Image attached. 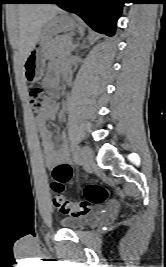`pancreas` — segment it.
<instances>
[{
  "label": "pancreas",
  "instance_id": "obj_1",
  "mask_svg": "<svg viewBox=\"0 0 166 267\" xmlns=\"http://www.w3.org/2000/svg\"><path fill=\"white\" fill-rule=\"evenodd\" d=\"M70 52V37L68 35L57 36L51 41L47 52V58L53 59L55 57H63L69 55Z\"/></svg>",
  "mask_w": 166,
  "mask_h": 267
}]
</instances>
